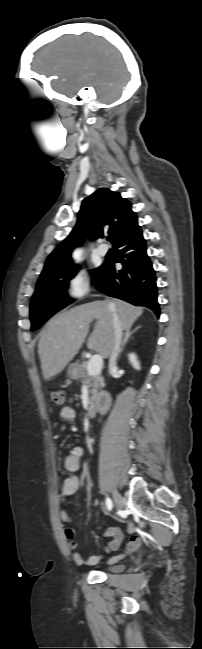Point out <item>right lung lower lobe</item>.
Instances as JSON below:
<instances>
[{"mask_svg": "<svg viewBox=\"0 0 202 649\" xmlns=\"http://www.w3.org/2000/svg\"><path fill=\"white\" fill-rule=\"evenodd\" d=\"M113 246L118 259H107L103 263L96 276V288L111 297L148 307L159 316L155 271L141 229L120 238ZM116 262L122 263V270L116 271Z\"/></svg>", "mask_w": 202, "mask_h": 649, "instance_id": "98d812e1", "label": "right lung lower lobe"}]
</instances>
